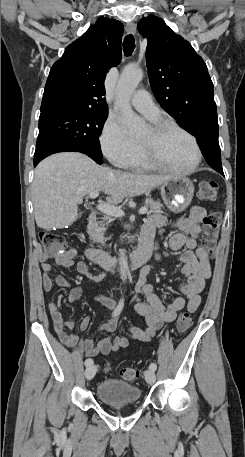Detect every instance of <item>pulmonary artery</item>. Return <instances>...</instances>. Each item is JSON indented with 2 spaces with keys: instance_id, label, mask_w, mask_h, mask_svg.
I'll return each mask as SVG.
<instances>
[{
  "instance_id": "e3ab8cb5",
  "label": "pulmonary artery",
  "mask_w": 245,
  "mask_h": 457,
  "mask_svg": "<svg viewBox=\"0 0 245 457\" xmlns=\"http://www.w3.org/2000/svg\"><path fill=\"white\" fill-rule=\"evenodd\" d=\"M130 102L135 109L149 119H156L159 116V108L151 100L150 93H135L130 98Z\"/></svg>"
}]
</instances>
